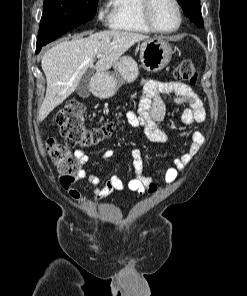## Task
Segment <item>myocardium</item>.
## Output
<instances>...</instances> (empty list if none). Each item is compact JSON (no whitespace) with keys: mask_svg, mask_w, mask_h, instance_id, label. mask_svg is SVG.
Listing matches in <instances>:
<instances>
[{"mask_svg":"<svg viewBox=\"0 0 247 296\" xmlns=\"http://www.w3.org/2000/svg\"><path fill=\"white\" fill-rule=\"evenodd\" d=\"M170 1L172 2V4L176 9L178 22L174 28L169 30H163L156 26L152 17V8H153L154 0H143L142 16L145 23L153 32L160 33V34H172L177 30H179V28L181 27L182 21H183L181 6L177 0H170Z\"/></svg>","mask_w":247,"mask_h":296,"instance_id":"1","label":"myocardium"}]
</instances>
